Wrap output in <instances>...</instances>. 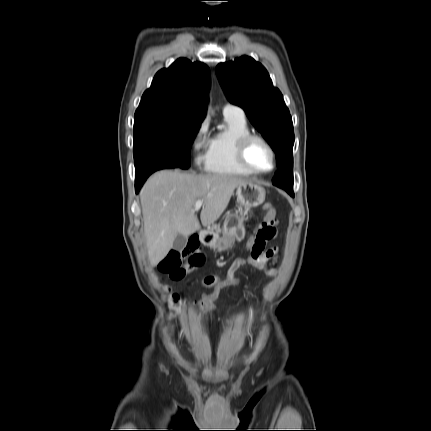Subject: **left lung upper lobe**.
<instances>
[{
  "mask_svg": "<svg viewBox=\"0 0 431 431\" xmlns=\"http://www.w3.org/2000/svg\"><path fill=\"white\" fill-rule=\"evenodd\" d=\"M216 73L227 99L244 109L276 153L278 171L273 184L293 192L292 119L268 72L260 63L243 56L219 64Z\"/></svg>",
  "mask_w": 431,
  "mask_h": 431,
  "instance_id": "1",
  "label": "left lung upper lobe"
}]
</instances>
